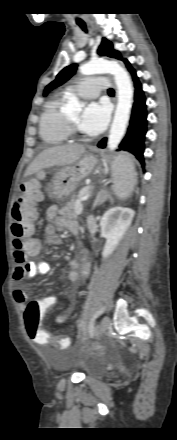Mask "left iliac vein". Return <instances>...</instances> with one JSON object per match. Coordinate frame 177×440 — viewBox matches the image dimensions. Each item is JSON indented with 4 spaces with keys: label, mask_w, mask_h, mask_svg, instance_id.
<instances>
[{
    "label": "left iliac vein",
    "mask_w": 177,
    "mask_h": 440,
    "mask_svg": "<svg viewBox=\"0 0 177 440\" xmlns=\"http://www.w3.org/2000/svg\"><path fill=\"white\" fill-rule=\"evenodd\" d=\"M109 325H110V318L108 316H104L96 330L97 339H100L107 332Z\"/></svg>",
    "instance_id": "1"
}]
</instances>
